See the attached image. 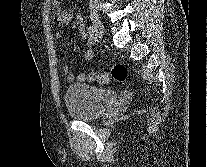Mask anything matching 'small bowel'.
Returning a JSON list of instances; mask_svg holds the SVG:
<instances>
[{"label": "small bowel", "instance_id": "small-bowel-1", "mask_svg": "<svg viewBox=\"0 0 207 167\" xmlns=\"http://www.w3.org/2000/svg\"><path fill=\"white\" fill-rule=\"evenodd\" d=\"M53 6L57 10V13L54 17V22L58 25H67L69 24L73 18H74V12L73 11H65L61 7V3L59 0H53ZM77 23H78V29L80 34L89 40L88 37V31H86L85 24L83 21V17L81 14L77 17ZM55 37L57 39H60L62 37V34L60 32H56ZM90 41V40H89ZM92 41H90L89 48L84 54L85 60H90L93 57V45L91 44ZM63 73L66 76L67 81L74 82V81H85L87 76L83 72H79L76 74H73L70 72V68L68 64H64L63 66Z\"/></svg>", "mask_w": 207, "mask_h": 167}]
</instances>
